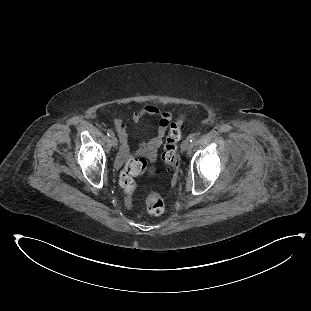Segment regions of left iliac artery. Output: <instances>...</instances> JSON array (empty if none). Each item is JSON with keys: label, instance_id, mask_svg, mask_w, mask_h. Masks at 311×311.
<instances>
[{"label": "left iliac artery", "instance_id": "left-iliac-artery-1", "mask_svg": "<svg viewBox=\"0 0 311 311\" xmlns=\"http://www.w3.org/2000/svg\"><path fill=\"white\" fill-rule=\"evenodd\" d=\"M194 138H195V134H190V135L188 136V140H189L190 142H192V141L194 140Z\"/></svg>", "mask_w": 311, "mask_h": 311}]
</instances>
